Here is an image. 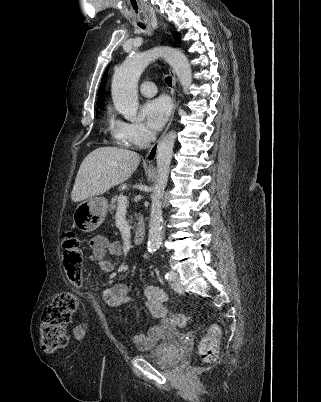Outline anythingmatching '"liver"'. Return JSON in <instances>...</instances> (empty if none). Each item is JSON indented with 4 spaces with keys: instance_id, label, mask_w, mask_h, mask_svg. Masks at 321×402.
I'll return each mask as SVG.
<instances>
[{
    "instance_id": "1",
    "label": "liver",
    "mask_w": 321,
    "mask_h": 402,
    "mask_svg": "<svg viewBox=\"0 0 321 402\" xmlns=\"http://www.w3.org/2000/svg\"><path fill=\"white\" fill-rule=\"evenodd\" d=\"M140 155L128 149L99 147L82 161L71 199L80 202L126 181L137 169Z\"/></svg>"
}]
</instances>
